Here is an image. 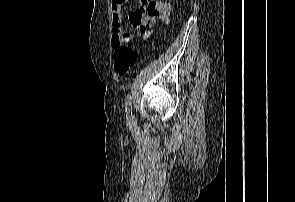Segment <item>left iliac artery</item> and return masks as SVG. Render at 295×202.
<instances>
[{
    "label": "left iliac artery",
    "mask_w": 295,
    "mask_h": 202,
    "mask_svg": "<svg viewBox=\"0 0 295 202\" xmlns=\"http://www.w3.org/2000/svg\"><path fill=\"white\" fill-rule=\"evenodd\" d=\"M131 95L128 94L126 99H125V111H126V117L127 119H133V114H132V106H131Z\"/></svg>",
    "instance_id": "left-iliac-artery-1"
}]
</instances>
